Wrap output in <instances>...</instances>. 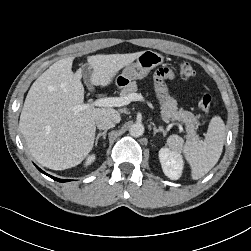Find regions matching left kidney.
Returning a JSON list of instances; mask_svg holds the SVG:
<instances>
[{
  "instance_id": "obj_1",
  "label": "left kidney",
  "mask_w": 251,
  "mask_h": 251,
  "mask_svg": "<svg viewBox=\"0 0 251 251\" xmlns=\"http://www.w3.org/2000/svg\"><path fill=\"white\" fill-rule=\"evenodd\" d=\"M159 160L164 174L171 180L180 178L183 170V159L180 153L173 152L167 148L159 151Z\"/></svg>"
}]
</instances>
